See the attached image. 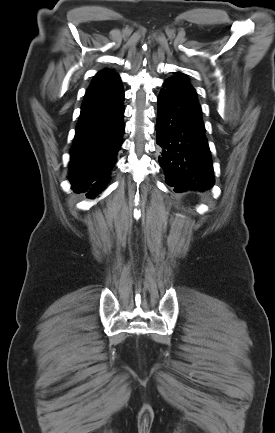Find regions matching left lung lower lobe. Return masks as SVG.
Here are the masks:
<instances>
[{
	"instance_id": "obj_1",
	"label": "left lung lower lobe",
	"mask_w": 275,
	"mask_h": 433,
	"mask_svg": "<svg viewBox=\"0 0 275 433\" xmlns=\"http://www.w3.org/2000/svg\"><path fill=\"white\" fill-rule=\"evenodd\" d=\"M195 89L179 77L167 79L158 96L156 123L159 164L175 192L208 190L213 165Z\"/></svg>"
}]
</instances>
